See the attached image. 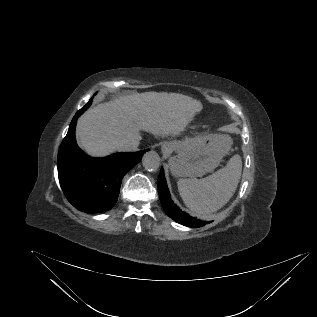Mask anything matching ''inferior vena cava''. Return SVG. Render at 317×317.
Returning <instances> with one entry per match:
<instances>
[{
	"mask_svg": "<svg viewBox=\"0 0 317 317\" xmlns=\"http://www.w3.org/2000/svg\"><path fill=\"white\" fill-rule=\"evenodd\" d=\"M121 151H136L138 149V142L136 141H128L120 143L118 146Z\"/></svg>",
	"mask_w": 317,
	"mask_h": 317,
	"instance_id": "602c4592",
	"label": "inferior vena cava"
}]
</instances>
